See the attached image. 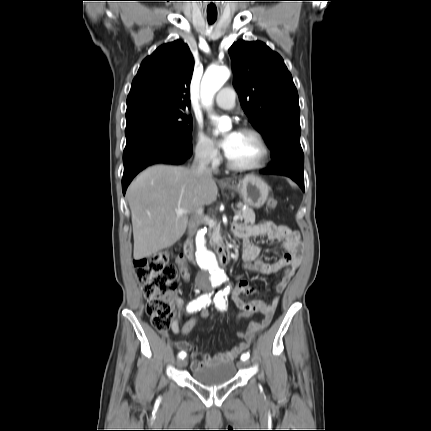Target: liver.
<instances>
[{
	"label": "liver",
	"mask_w": 431,
	"mask_h": 431,
	"mask_svg": "<svg viewBox=\"0 0 431 431\" xmlns=\"http://www.w3.org/2000/svg\"><path fill=\"white\" fill-rule=\"evenodd\" d=\"M212 177L197 176L181 166L155 165L140 173L127 189L135 260L175 244L204 205L216 201ZM186 213L178 215L176 210Z\"/></svg>",
	"instance_id": "6515ba94"
}]
</instances>
